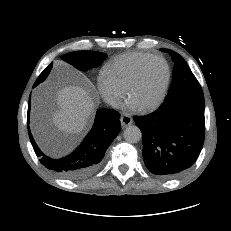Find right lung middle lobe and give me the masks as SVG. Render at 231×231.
<instances>
[{"label": "right lung middle lobe", "instance_id": "dd1d6c3e", "mask_svg": "<svg viewBox=\"0 0 231 231\" xmlns=\"http://www.w3.org/2000/svg\"><path fill=\"white\" fill-rule=\"evenodd\" d=\"M64 61L68 62L71 65H74L75 68L79 70H85L87 68H93L99 66V64L106 58V55L101 52L95 51H77L66 54L61 57ZM53 63H50L44 71L39 75L38 79L34 83V86H37L39 83L43 82L48 76Z\"/></svg>", "mask_w": 231, "mask_h": 231}]
</instances>
